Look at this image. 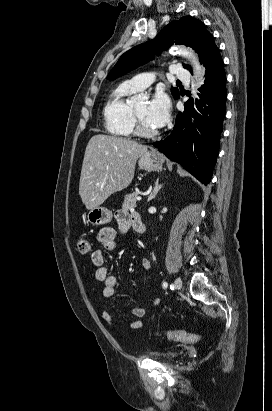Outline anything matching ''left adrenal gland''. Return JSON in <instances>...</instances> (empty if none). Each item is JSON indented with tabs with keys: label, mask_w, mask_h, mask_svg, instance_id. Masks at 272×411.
Instances as JSON below:
<instances>
[{
	"label": "left adrenal gland",
	"mask_w": 272,
	"mask_h": 411,
	"mask_svg": "<svg viewBox=\"0 0 272 411\" xmlns=\"http://www.w3.org/2000/svg\"><path fill=\"white\" fill-rule=\"evenodd\" d=\"M161 187H162V184H159V178H157V180L155 182V186H154L150 196L148 197V202L156 197V195H157L158 191L161 189Z\"/></svg>",
	"instance_id": "left-adrenal-gland-1"
}]
</instances>
